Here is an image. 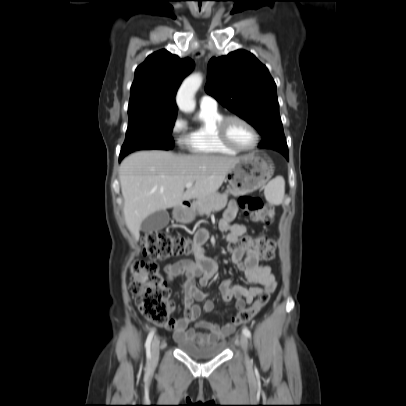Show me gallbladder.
<instances>
[{"mask_svg":"<svg viewBox=\"0 0 406 406\" xmlns=\"http://www.w3.org/2000/svg\"><path fill=\"white\" fill-rule=\"evenodd\" d=\"M169 220V213L166 210H159L149 215L142 222L140 229L143 232L159 231L168 225Z\"/></svg>","mask_w":406,"mask_h":406,"instance_id":"bac80fb5","label":"gallbladder"}]
</instances>
